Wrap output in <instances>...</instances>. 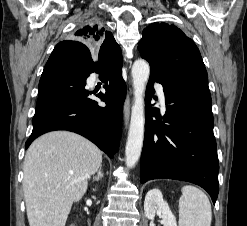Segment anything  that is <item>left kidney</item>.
I'll list each match as a JSON object with an SVG mask.
<instances>
[{"label":"left kidney","instance_id":"left-kidney-1","mask_svg":"<svg viewBox=\"0 0 247 226\" xmlns=\"http://www.w3.org/2000/svg\"><path fill=\"white\" fill-rule=\"evenodd\" d=\"M145 216L149 220H154L157 213H162V222L164 226H177L176 218L171 212L169 205L163 199L159 189L148 191L144 201Z\"/></svg>","mask_w":247,"mask_h":226}]
</instances>
